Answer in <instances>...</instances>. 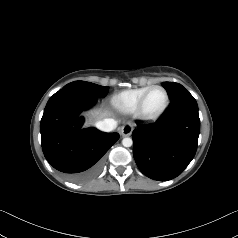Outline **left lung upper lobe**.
I'll return each instance as SVG.
<instances>
[{"instance_id":"1","label":"left lung upper lobe","mask_w":238,"mask_h":238,"mask_svg":"<svg viewBox=\"0 0 238 238\" xmlns=\"http://www.w3.org/2000/svg\"><path fill=\"white\" fill-rule=\"evenodd\" d=\"M163 86L167 89L171 100L178 95L187 92V90L179 83L163 82Z\"/></svg>"}]
</instances>
